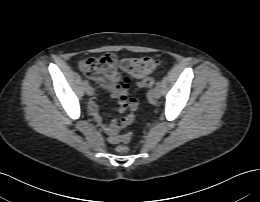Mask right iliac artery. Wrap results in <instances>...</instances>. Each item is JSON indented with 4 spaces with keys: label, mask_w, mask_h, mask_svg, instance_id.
Returning <instances> with one entry per match:
<instances>
[{
    "label": "right iliac artery",
    "mask_w": 260,
    "mask_h": 202,
    "mask_svg": "<svg viewBox=\"0 0 260 202\" xmlns=\"http://www.w3.org/2000/svg\"><path fill=\"white\" fill-rule=\"evenodd\" d=\"M84 85H85V86H89L88 81H84Z\"/></svg>",
    "instance_id": "82829eb1"
}]
</instances>
